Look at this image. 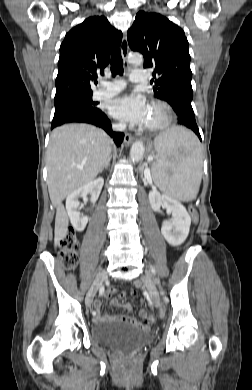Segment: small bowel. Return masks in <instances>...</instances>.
Wrapping results in <instances>:
<instances>
[{"instance_id": "1", "label": "small bowel", "mask_w": 252, "mask_h": 390, "mask_svg": "<svg viewBox=\"0 0 252 390\" xmlns=\"http://www.w3.org/2000/svg\"><path fill=\"white\" fill-rule=\"evenodd\" d=\"M113 293V289L112 288H109L104 294L103 296H108L110 294ZM121 297L124 296V294H120ZM102 306V303L100 301H95L94 302V311L96 312V315L93 316V319L94 321L96 322H101V321H108V320H114V321H118V322H123V323H127V324H130L132 325L133 327L135 328H138V329H145L148 327V325L150 323H152L154 321V318L152 316H149L147 314V311H146V308L145 307H142L139 311V315L141 317V321L140 320H137L133 317H130L126 314H120V315H115V316H110V315H102L100 313V308ZM110 306L112 307H118L119 306V302L116 298H113L111 301H110ZM125 307L128 309V310H131V306L130 304H126Z\"/></svg>"}]
</instances>
